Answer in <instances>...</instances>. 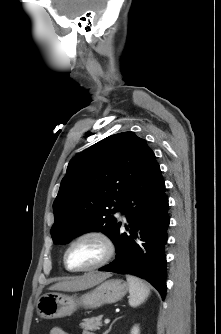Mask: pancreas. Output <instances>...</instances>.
<instances>
[{
	"label": "pancreas",
	"mask_w": 221,
	"mask_h": 334,
	"mask_svg": "<svg viewBox=\"0 0 221 334\" xmlns=\"http://www.w3.org/2000/svg\"><path fill=\"white\" fill-rule=\"evenodd\" d=\"M102 316H97V317H91V318H85L83 319V322L80 324L81 328L84 330H99L100 327L102 326L101 322Z\"/></svg>",
	"instance_id": "obj_1"
}]
</instances>
